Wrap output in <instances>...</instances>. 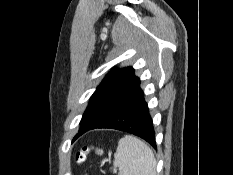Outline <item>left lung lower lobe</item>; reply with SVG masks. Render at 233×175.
Here are the masks:
<instances>
[{
    "label": "left lung lower lobe",
    "instance_id": "1",
    "mask_svg": "<svg viewBox=\"0 0 233 175\" xmlns=\"http://www.w3.org/2000/svg\"><path fill=\"white\" fill-rule=\"evenodd\" d=\"M111 128L141 137L156 148L155 132L149 114L140 80L136 81L119 99L91 126L84 129L74 139L88 130Z\"/></svg>",
    "mask_w": 233,
    "mask_h": 175
}]
</instances>
